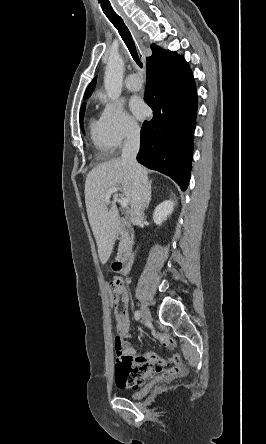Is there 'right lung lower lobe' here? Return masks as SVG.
I'll return each instance as SVG.
<instances>
[{
  "label": "right lung lower lobe",
  "instance_id": "obj_1",
  "mask_svg": "<svg viewBox=\"0 0 266 444\" xmlns=\"http://www.w3.org/2000/svg\"><path fill=\"white\" fill-rule=\"evenodd\" d=\"M145 101L153 118L144 121L137 160L187 189L191 173L197 93L182 56L146 68Z\"/></svg>",
  "mask_w": 266,
  "mask_h": 444
}]
</instances>
